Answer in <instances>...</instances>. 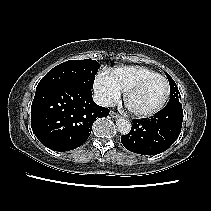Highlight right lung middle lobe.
<instances>
[{
  "label": "right lung middle lobe",
  "mask_w": 211,
  "mask_h": 211,
  "mask_svg": "<svg viewBox=\"0 0 211 211\" xmlns=\"http://www.w3.org/2000/svg\"><path fill=\"white\" fill-rule=\"evenodd\" d=\"M100 64L91 59L69 60L51 69L38 83L36 91L56 85H77L93 88Z\"/></svg>",
  "instance_id": "1"
}]
</instances>
